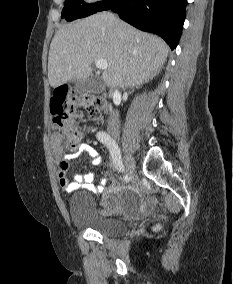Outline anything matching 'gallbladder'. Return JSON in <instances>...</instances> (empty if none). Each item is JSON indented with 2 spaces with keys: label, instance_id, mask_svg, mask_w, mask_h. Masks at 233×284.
I'll use <instances>...</instances> for the list:
<instances>
[{
  "label": "gallbladder",
  "instance_id": "obj_1",
  "mask_svg": "<svg viewBox=\"0 0 233 284\" xmlns=\"http://www.w3.org/2000/svg\"><path fill=\"white\" fill-rule=\"evenodd\" d=\"M103 89L102 83L96 76L77 80L74 82V90L79 94L100 93Z\"/></svg>",
  "mask_w": 233,
  "mask_h": 284
}]
</instances>
